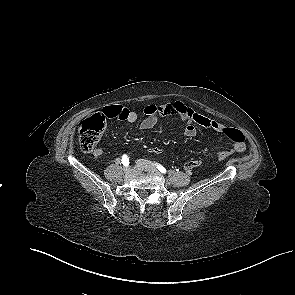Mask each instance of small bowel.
<instances>
[{
	"instance_id": "obj_1",
	"label": "small bowel",
	"mask_w": 295,
	"mask_h": 295,
	"mask_svg": "<svg viewBox=\"0 0 295 295\" xmlns=\"http://www.w3.org/2000/svg\"><path fill=\"white\" fill-rule=\"evenodd\" d=\"M102 114L107 118H117L128 123H134L138 120V114L135 111L121 105L107 106L102 110ZM143 114L145 118L139 124L140 131L152 129L157 124L158 118L164 116H175L181 119L185 123L184 136L188 138L196 136L198 128L209 129L224 135H226L228 129H234L196 112L180 101L146 105L143 108ZM233 147H235V144H233ZM94 155L101 157L103 150L96 148ZM201 164L200 159H191L184 164V168L191 171Z\"/></svg>"
}]
</instances>
